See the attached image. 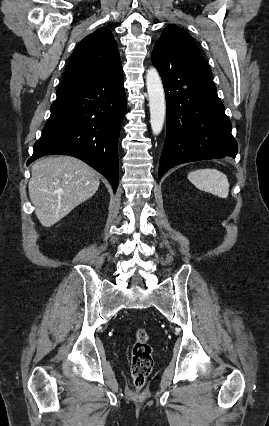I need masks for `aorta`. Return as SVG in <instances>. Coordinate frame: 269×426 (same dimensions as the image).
<instances>
[{"label": "aorta", "instance_id": "1", "mask_svg": "<svg viewBox=\"0 0 269 426\" xmlns=\"http://www.w3.org/2000/svg\"><path fill=\"white\" fill-rule=\"evenodd\" d=\"M146 86L149 97L151 129L154 135H159L164 125L166 104L162 81L154 67L147 70Z\"/></svg>", "mask_w": 269, "mask_h": 426}]
</instances>
